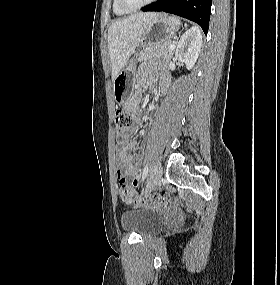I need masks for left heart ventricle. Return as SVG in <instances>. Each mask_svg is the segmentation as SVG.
I'll use <instances>...</instances> for the list:
<instances>
[{"label": "left heart ventricle", "mask_w": 280, "mask_h": 285, "mask_svg": "<svg viewBox=\"0 0 280 285\" xmlns=\"http://www.w3.org/2000/svg\"><path fill=\"white\" fill-rule=\"evenodd\" d=\"M128 4L130 5H139L143 2H145L146 0H126Z\"/></svg>", "instance_id": "obj_1"}]
</instances>
